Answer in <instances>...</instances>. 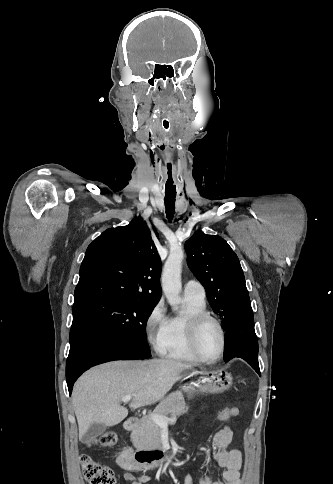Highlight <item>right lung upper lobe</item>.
<instances>
[{"instance_id": "1", "label": "right lung upper lobe", "mask_w": 333, "mask_h": 484, "mask_svg": "<svg viewBox=\"0 0 333 484\" xmlns=\"http://www.w3.org/2000/svg\"><path fill=\"white\" fill-rule=\"evenodd\" d=\"M161 260L141 217L110 228L87 248L75 288L74 304L89 297L158 302Z\"/></svg>"}]
</instances>
